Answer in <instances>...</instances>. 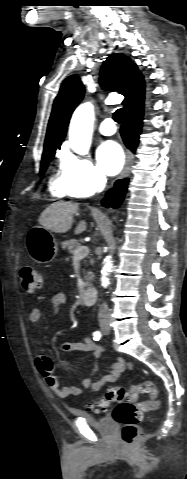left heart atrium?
I'll list each match as a JSON object with an SVG mask.
<instances>
[{
	"label": "left heart atrium",
	"mask_w": 187,
	"mask_h": 479,
	"mask_svg": "<svg viewBox=\"0 0 187 479\" xmlns=\"http://www.w3.org/2000/svg\"><path fill=\"white\" fill-rule=\"evenodd\" d=\"M97 160L108 175L118 174L124 165V153L119 144L114 141H106L97 149Z\"/></svg>",
	"instance_id": "left-heart-atrium-1"
}]
</instances>
